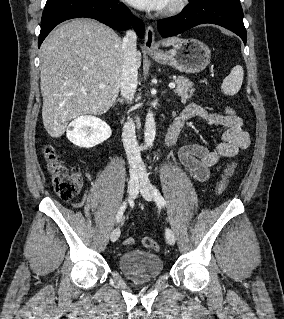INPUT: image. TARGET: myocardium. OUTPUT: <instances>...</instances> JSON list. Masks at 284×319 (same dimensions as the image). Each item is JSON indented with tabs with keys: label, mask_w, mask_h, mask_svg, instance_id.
I'll list each match as a JSON object with an SVG mask.
<instances>
[{
	"label": "myocardium",
	"mask_w": 284,
	"mask_h": 319,
	"mask_svg": "<svg viewBox=\"0 0 284 319\" xmlns=\"http://www.w3.org/2000/svg\"><path fill=\"white\" fill-rule=\"evenodd\" d=\"M188 3L189 0H169L162 13L163 15L178 14L186 8Z\"/></svg>",
	"instance_id": "f54148a6"
}]
</instances>
